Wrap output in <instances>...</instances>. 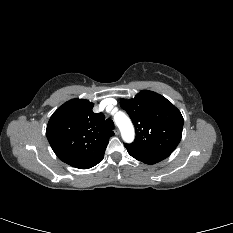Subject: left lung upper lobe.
<instances>
[{"label": "left lung upper lobe", "instance_id": "1", "mask_svg": "<svg viewBox=\"0 0 233 233\" xmlns=\"http://www.w3.org/2000/svg\"><path fill=\"white\" fill-rule=\"evenodd\" d=\"M121 107L129 114L136 131L129 148L171 154L182 136L183 117L165 97L142 90L135 98L121 99Z\"/></svg>", "mask_w": 233, "mask_h": 233}]
</instances>
